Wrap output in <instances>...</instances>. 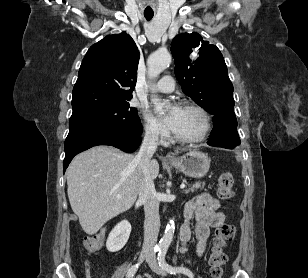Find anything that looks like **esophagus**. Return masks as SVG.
<instances>
[{"mask_svg": "<svg viewBox=\"0 0 308 278\" xmlns=\"http://www.w3.org/2000/svg\"><path fill=\"white\" fill-rule=\"evenodd\" d=\"M174 159V155L172 153H167L166 155V160H173Z\"/></svg>", "mask_w": 308, "mask_h": 278, "instance_id": "esophagus-1", "label": "esophagus"}]
</instances>
